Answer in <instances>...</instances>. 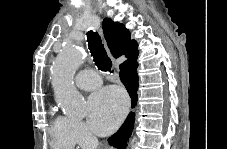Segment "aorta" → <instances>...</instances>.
Here are the masks:
<instances>
[{
  "label": "aorta",
  "instance_id": "obj_1",
  "mask_svg": "<svg viewBox=\"0 0 227 149\" xmlns=\"http://www.w3.org/2000/svg\"><path fill=\"white\" fill-rule=\"evenodd\" d=\"M82 62L80 49L72 44L62 47L51 67L52 86L55 101L65 114L82 117L85 103L82 95L74 86V75Z\"/></svg>",
  "mask_w": 227,
  "mask_h": 149
}]
</instances>
